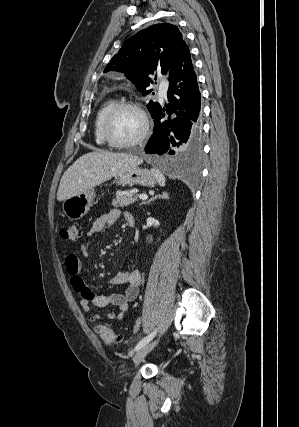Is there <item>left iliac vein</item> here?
Wrapping results in <instances>:
<instances>
[{
	"label": "left iliac vein",
	"instance_id": "4c4485c4",
	"mask_svg": "<svg viewBox=\"0 0 299 427\" xmlns=\"http://www.w3.org/2000/svg\"><path fill=\"white\" fill-rule=\"evenodd\" d=\"M156 344L157 340H154L140 348L133 358L134 364L138 365L144 359V357L156 346Z\"/></svg>",
	"mask_w": 299,
	"mask_h": 427
}]
</instances>
